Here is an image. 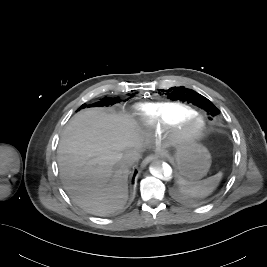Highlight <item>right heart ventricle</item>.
I'll list each match as a JSON object with an SVG mask.
<instances>
[{
	"label": "right heart ventricle",
	"instance_id": "right-heart-ventricle-1",
	"mask_svg": "<svg viewBox=\"0 0 267 267\" xmlns=\"http://www.w3.org/2000/svg\"><path fill=\"white\" fill-rule=\"evenodd\" d=\"M194 113L197 112L191 106L181 102H148L135 106L132 115L148 129L157 132Z\"/></svg>",
	"mask_w": 267,
	"mask_h": 267
}]
</instances>
